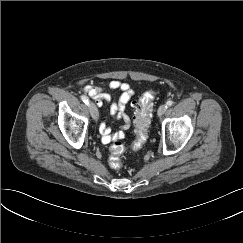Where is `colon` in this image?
<instances>
[{"instance_id": "obj_1", "label": "colon", "mask_w": 243, "mask_h": 243, "mask_svg": "<svg viewBox=\"0 0 243 243\" xmlns=\"http://www.w3.org/2000/svg\"><path fill=\"white\" fill-rule=\"evenodd\" d=\"M155 90L146 91L139 101L134 102V133L135 138L131 149L137 151L143 147L148 137V128L154 108ZM125 151L124 144L118 139L110 147L109 164L113 169H120L122 166L121 156Z\"/></svg>"}]
</instances>
